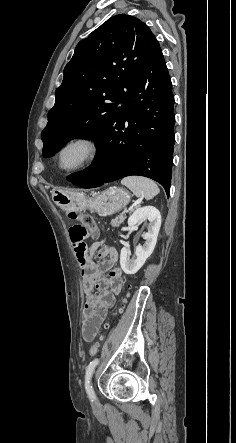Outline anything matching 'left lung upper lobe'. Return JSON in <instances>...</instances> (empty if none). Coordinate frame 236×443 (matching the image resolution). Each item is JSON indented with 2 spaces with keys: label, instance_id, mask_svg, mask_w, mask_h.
<instances>
[{
  "label": "left lung upper lobe",
  "instance_id": "obj_1",
  "mask_svg": "<svg viewBox=\"0 0 236 443\" xmlns=\"http://www.w3.org/2000/svg\"><path fill=\"white\" fill-rule=\"evenodd\" d=\"M157 44L145 23L126 14L111 17L80 41L41 134L43 156L74 138L98 137Z\"/></svg>",
  "mask_w": 236,
  "mask_h": 443
}]
</instances>
